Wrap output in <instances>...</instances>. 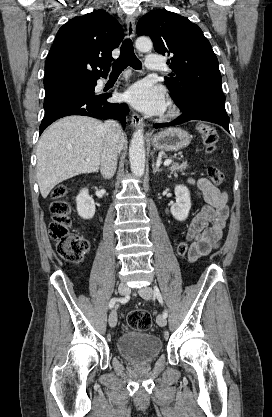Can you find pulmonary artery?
<instances>
[{
    "mask_svg": "<svg viewBox=\"0 0 272 417\" xmlns=\"http://www.w3.org/2000/svg\"><path fill=\"white\" fill-rule=\"evenodd\" d=\"M145 65L149 70H160L163 66L160 56L155 54H150L146 57Z\"/></svg>",
    "mask_w": 272,
    "mask_h": 417,
    "instance_id": "e3ab8cb5",
    "label": "pulmonary artery"
}]
</instances>
